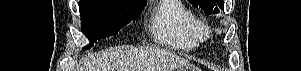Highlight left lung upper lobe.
<instances>
[{"label": "left lung upper lobe", "mask_w": 301, "mask_h": 71, "mask_svg": "<svg viewBox=\"0 0 301 71\" xmlns=\"http://www.w3.org/2000/svg\"><path fill=\"white\" fill-rule=\"evenodd\" d=\"M194 7H201L206 15H217L224 10L223 0H188Z\"/></svg>", "instance_id": "1"}]
</instances>
